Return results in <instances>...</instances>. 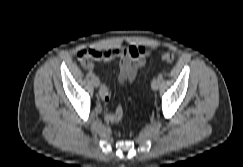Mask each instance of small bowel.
I'll return each instance as SVG.
<instances>
[{
	"label": "small bowel",
	"instance_id": "c3829d8e",
	"mask_svg": "<svg viewBox=\"0 0 243 167\" xmlns=\"http://www.w3.org/2000/svg\"><path fill=\"white\" fill-rule=\"evenodd\" d=\"M84 56L78 55L81 65L88 70L94 68V61L110 62L116 58L120 59V78H126L127 82H132L138 72L143 67L150 56V51L141 46H120L108 50L90 49L86 50ZM103 104L104 119L108 123H116L122 117V109L116 108L113 112L109 110L108 103L111 97L110 88L103 84L99 91Z\"/></svg>",
	"mask_w": 243,
	"mask_h": 167
}]
</instances>
